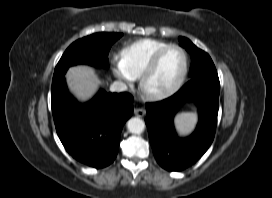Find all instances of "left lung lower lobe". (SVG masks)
<instances>
[{"label":"left lung lower lobe","instance_id":"obj_1","mask_svg":"<svg viewBox=\"0 0 272 198\" xmlns=\"http://www.w3.org/2000/svg\"><path fill=\"white\" fill-rule=\"evenodd\" d=\"M220 83L217 72L191 78L176 94L160 102L146 104V125L154 156L161 167L180 171L194 164L211 145L217 123ZM186 101H195L199 122L194 133L180 139L173 118Z\"/></svg>","mask_w":272,"mask_h":198}]
</instances>
